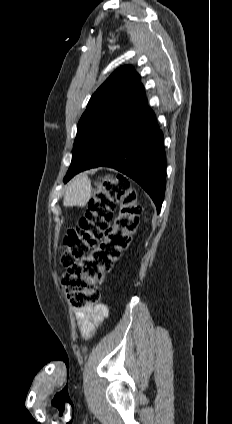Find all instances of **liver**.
I'll return each instance as SVG.
<instances>
[{
  "mask_svg": "<svg viewBox=\"0 0 232 424\" xmlns=\"http://www.w3.org/2000/svg\"><path fill=\"white\" fill-rule=\"evenodd\" d=\"M91 198L90 181L86 175L75 176L67 185L63 199L65 207H84Z\"/></svg>",
  "mask_w": 232,
  "mask_h": 424,
  "instance_id": "obj_1",
  "label": "liver"
}]
</instances>
